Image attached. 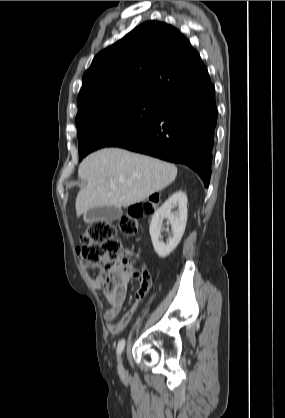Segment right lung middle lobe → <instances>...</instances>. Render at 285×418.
Wrapping results in <instances>:
<instances>
[{
  "mask_svg": "<svg viewBox=\"0 0 285 418\" xmlns=\"http://www.w3.org/2000/svg\"><path fill=\"white\" fill-rule=\"evenodd\" d=\"M161 111V104L137 101L105 108L76 123L80 161L89 153L112 147L136 135Z\"/></svg>",
  "mask_w": 285,
  "mask_h": 418,
  "instance_id": "obj_1",
  "label": "right lung middle lobe"
}]
</instances>
